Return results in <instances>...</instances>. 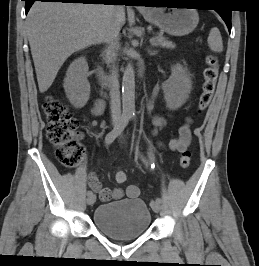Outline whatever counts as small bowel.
I'll use <instances>...</instances> for the list:
<instances>
[{"instance_id":"small-bowel-1","label":"small bowel","mask_w":259,"mask_h":266,"mask_svg":"<svg viewBox=\"0 0 259 266\" xmlns=\"http://www.w3.org/2000/svg\"><path fill=\"white\" fill-rule=\"evenodd\" d=\"M103 110L102 102H98L95 105L94 112L100 114ZM154 125V132L159 130L166 123V118L161 115H155L152 118ZM191 120L187 119L186 123L179 128V136L170 140L168 143V149L174 152L183 153L187 151L191 142ZM90 188L95 191L102 201H110L120 199L124 195V191L120 188L108 189L103 188L95 174H91L88 179ZM125 194L128 198L134 199L139 195V188L135 185H129L126 188Z\"/></svg>"}]
</instances>
